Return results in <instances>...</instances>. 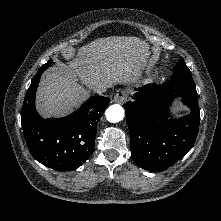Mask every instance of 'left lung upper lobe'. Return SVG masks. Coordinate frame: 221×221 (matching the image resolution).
<instances>
[{"label": "left lung upper lobe", "instance_id": "1", "mask_svg": "<svg viewBox=\"0 0 221 221\" xmlns=\"http://www.w3.org/2000/svg\"><path fill=\"white\" fill-rule=\"evenodd\" d=\"M175 75H191V72L183 59H180L178 64L175 66L173 76Z\"/></svg>", "mask_w": 221, "mask_h": 221}]
</instances>
